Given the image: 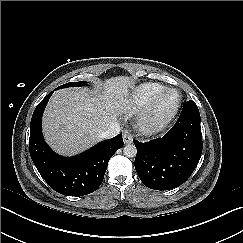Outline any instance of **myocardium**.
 <instances>
[{
  "instance_id": "obj_1",
  "label": "myocardium",
  "mask_w": 243,
  "mask_h": 243,
  "mask_svg": "<svg viewBox=\"0 0 243 243\" xmlns=\"http://www.w3.org/2000/svg\"><path fill=\"white\" fill-rule=\"evenodd\" d=\"M169 92H175L178 96L174 107L168 111L161 110V102ZM182 105V93L174 87L164 88L153 100L139 112L136 123L138 129L145 135L155 134L166 127L178 114Z\"/></svg>"
}]
</instances>
